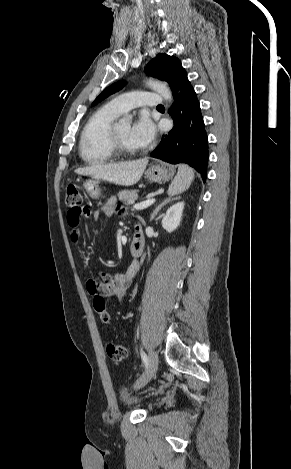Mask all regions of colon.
Segmentation results:
<instances>
[{"label":"colon","instance_id":"colon-1","mask_svg":"<svg viewBox=\"0 0 291 469\" xmlns=\"http://www.w3.org/2000/svg\"><path fill=\"white\" fill-rule=\"evenodd\" d=\"M66 203L72 209L78 211L80 215L89 214L87 208L82 207V194L79 188L75 185H70L66 191ZM108 296L105 293H97L94 296V307L99 314L100 320L103 324H110V316L106 310L105 301ZM106 353L108 357L115 362L124 360L127 356V349L122 344L109 343L106 346Z\"/></svg>","mask_w":291,"mask_h":469}]
</instances>
